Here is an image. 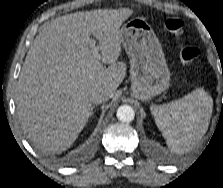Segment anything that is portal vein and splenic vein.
Masks as SVG:
<instances>
[{
	"mask_svg": "<svg viewBox=\"0 0 223 188\" xmlns=\"http://www.w3.org/2000/svg\"><path fill=\"white\" fill-rule=\"evenodd\" d=\"M89 44H90V47H91V53H92L93 57L98 58L99 57V50L95 46V40L91 39Z\"/></svg>",
	"mask_w": 223,
	"mask_h": 188,
	"instance_id": "18ae733b",
	"label": "portal vein and splenic vein"
}]
</instances>
